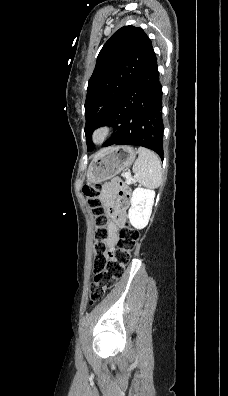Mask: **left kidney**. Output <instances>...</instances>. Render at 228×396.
<instances>
[{
  "mask_svg": "<svg viewBox=\"0 0 228 396\" xmlns=\"http://www.w3.org/2000/svg\"><path fill=\"white\" fill-rule=\"evenodd\" d=\"M154 197V190L138 187L133 191L128 218L130 224L136 229H143L147 226L152 213Z\"/></svg>",
  "mask_w": 228,
  "mask_h": 396,
  "instance_id": "obj_1",
  "label": "left kidney"
}]
</instances>
